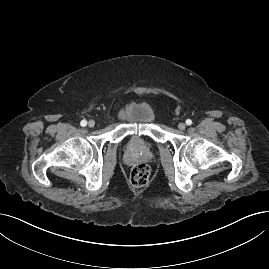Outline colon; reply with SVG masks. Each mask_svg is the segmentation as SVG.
Masks as SVG:
<instances>
[{"label": "colon", "instance_id": "colon-1", "mask_svg": "<svg viewBox=\"0 0 269 269\" xmlns=\"http://www.w3.org/2000/svg\"><path fill=\"white\" fill-rule=\"evenodd\" d=\"M151 170L146 164H138L134 166L130 172V183L133 187H144L150 179Z\"/></svg>", "mask_w": 269, "mask_h": 269}]
</instances>
